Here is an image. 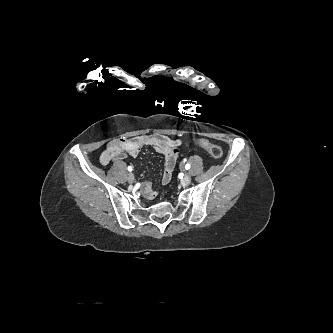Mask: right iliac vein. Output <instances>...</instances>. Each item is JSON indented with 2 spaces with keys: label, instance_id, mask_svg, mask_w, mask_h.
<instances>
[{
  "label": "right iliac vein",
  "instance_id": "obj_1",
  "mask_svg": "<svg viewBox=\"0 0 333 333\" xmlns=\"http://www.w3.org/2000/svg\"><path fill=\"white\" fill-rule=\"evenodd\" d=\"M127 180L129 183H133L135 178H134V175L133 173H129L128 176H127Z\"/></svg>",
  "mask_w": 333,
  "mask_h": 333
}]
</instances>
